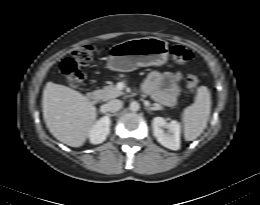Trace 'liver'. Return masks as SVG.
<instances>
[{"label": "liver", "instance_id": "6515ba94", "mask_svg": "<svg viewBox=\"0 0 260 205\" xmlns=\"http://www.w3.org/2000/svg\"><path fill=\"white\" fill-rule=\"evenodd\" d=\"M42 110L50 133L71 147L85 143L97 117L95 106L83 94L53 82L43 90Z\"/></svg>", "mask_w": 260, "mask_h": 205}]
</instances>
